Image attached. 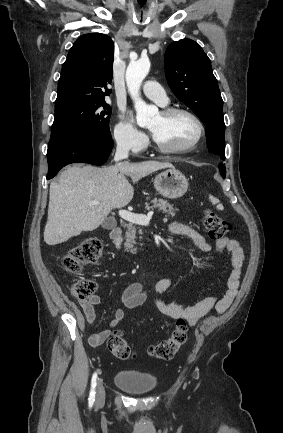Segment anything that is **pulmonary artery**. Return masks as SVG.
Masks as SVG:
<instances>
[{
    "instance_id": "obj_1",
    "label": "pulmonary artery",
    "mask_w": 283,
    "mask_h": 433,
    "mask_svg": "<svg viewBox=\"0 0 283 433\" xmlns=\"http://www.w3.org/2000/svg\"><path fill=\"white\" fill-rule=\"evenodd\" d=\"M142 91L148 98L154 100L160 106H166L169 102L166 93L161 89L160 84L156 81H146L142 87Z\"/></svg>"
}]
</instances>
